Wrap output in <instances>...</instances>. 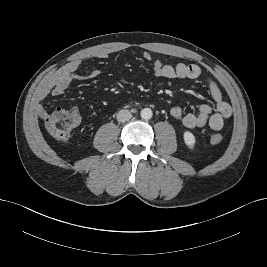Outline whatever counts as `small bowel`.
I'll return each mask as SVG.
<instances>
[{
    "instance_id": "obj_1",
    "label": "small bowel",
    "mask_w": 267,
    "mask_h": 267,
    "mask_svg": "<svg viewBox=\"0 0 267 267\" xmlns=\"http://www.w3.org/2000/svg\"><path fill=\"white\" fill-rule=\"evenodd\" d=\"M97 57L106 58L107 55L100 53ZM143 61L147 63L152 62L153 74L159 78L196 80L205 76L203 70L198 65L179 63L172 66L163 64L160 60L152 61V57L148 52L143 54ZM80 69L81 63L79 61H72L65 65L45 85L40 93V98L43 99L48 95L61 96L66 92L73 79L94 78L99 74L98 70L95 69L86 74H82ZM206 82L209 95L214 103V112H212L211 106L207 104H202L195 114H183L179 106H174L170 109V116L174 119H182L183 125L190 129L208 125L212 130H220L225 120L231 116L232 110L230 105L224 100L215 81L207 78ZM36 113L43 120L49 115L48 111L42 105L37 106Z\"/></svg>"
}]
</instances>
